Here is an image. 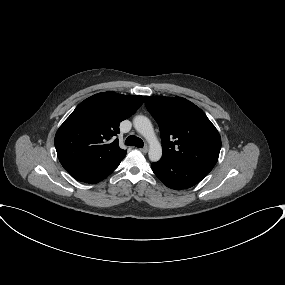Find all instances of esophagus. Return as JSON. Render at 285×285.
Returning <instances> with one entry per match:
<instances>
[{"label": "esophagus", "mask_w": 285, "mask_h": 285, "mask_svg": "<svg viewBox=\"0 0 285 285\" xmlns=\"http://www.w3.org/2000/svg\"><path fill=\"white\" fill-rule=\"evenodd\" d=\"M143 153H147L148 152V147L145 146L143 148L140 149Z\"/></svg>", "instance_id": "esophagus-1"}]
</instances>
